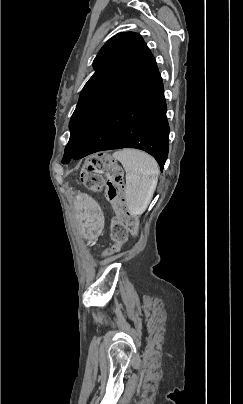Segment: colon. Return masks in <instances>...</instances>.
<instances>
[{
  "label": "colon",
  "instance_id": "colon-1",
  "mask_svg": "<svg viewBox=\"0 0 243 404\" xmlns=\"http://www.w3.org/2000/svg\"><path fill=\"white\" fill-rule=\"evenodd\" d=\"M81 181L91 191H103L106 200L117 212L118 217L111 225L114 241L111 251H116L126 241L128 232L135 233L138 227L137 217L125 201L122 171L112 157L99 153L87 160L81 173Z\"/></svg>",
  "mask_w": 243,
  "mask_h": 404
}]
</instances>
